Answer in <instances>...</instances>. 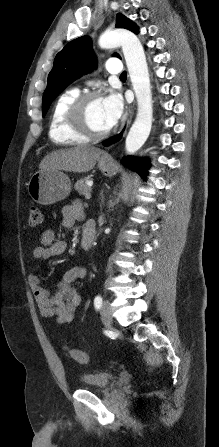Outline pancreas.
<instances>
[{"label": "pancreas", "mask_w": 219, "mask_h": 447, "mask_svg": "<svg viewBox=\"0 0 219 447\" xmlns=\"http://www.w3.org/2000/svg\"><path fill=\"white\" fill-rule=\"evenodd\" d=\"M91 177H84L80 180H78L74 186L75 190L78 191L81 195H86L87 193H90L91 188L87 185L88 181H91Z\"/></svg>", "instance_id": "pancreas-1"}]
</instances>
